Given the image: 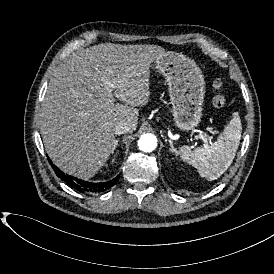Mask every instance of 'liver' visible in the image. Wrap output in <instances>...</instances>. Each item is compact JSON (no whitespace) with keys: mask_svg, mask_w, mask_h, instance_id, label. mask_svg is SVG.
I'll return each instance as SVG.
<instances>
[{"mask_svg":"<svg viewBox=\"0 0 274 274\" xmlns=\"http://www.w3.org/2000/svg\"><path fill=\"white\" fill-rule=\"evenodd\" d=\"M165 53L157 45L101 43L56 69L42 101L40 131L58 168L88 180L104 166L116 145L115 125L128 120L136 128V107L150 96V69Z\"/></svg>","mask_w":274,"mask_h":274,"instance_id":"1","label":"liver"}]
</instances>
